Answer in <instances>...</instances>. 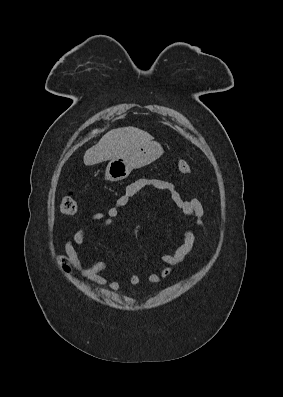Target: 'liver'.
<instances>
[{"label": "liver", "instance_id": "6515ba94", "mask_svg": "<svg viewBox=\"0 0 283 397\" xmlns=\"http://www.w3.org/2000/svg\"><path fill=\"white\" fill-rule=\"evenodd\" d=\"M153 137L135 127L110 130L84 154V164L95 165L103 161L124 158L141 145L152 142Z\"/></svg>", "mask_w": 283, "mask_h": 397}]
</instances>
